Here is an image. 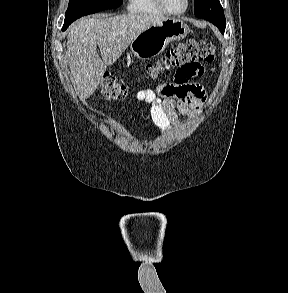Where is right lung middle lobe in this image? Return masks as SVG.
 Returning a JSON list of instances; mask_svg holds the SVG:
<instances>
[{
    "mask_svg": "<svg viewBox=\"0 0 288 293\" xmlns=\"http://www.w3.org/2000/svg\"><path fill=\"white\" fill-rule=\"evenodd\" d=\"M122 2L123 0H70L62 30L67 29L73 21L82 16L104 9L117 8Z\"/></svg>",
    "mask_w": 288,
    "mask_h": 293,
    "instance_id": "1",
    "label": "right lung middle lobe"
}]
</instances>
